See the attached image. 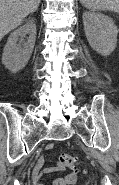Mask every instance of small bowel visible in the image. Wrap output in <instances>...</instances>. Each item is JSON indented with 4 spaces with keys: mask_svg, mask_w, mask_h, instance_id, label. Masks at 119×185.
Masks as SVG:
<instances>
[{
    "mask_svg": "<svg viewBox=\"0 0 119 185\" xmlns=\"http://www.w3.org/2000/svg\"><path fill=\"white\" fill-rule=\"evenodd\" d=\"M54 148L53 144H48L47 145V150L52 151ZM44 160L43 158H39L36 162V165L32 171L31 178L33 181L34 185H44L42 178L43 175L46 173H53V172H58L62 171L64 167L60 164L53 166V167H48V168H43ZM77 180V177L75 174H68L65 176H60L56 178L52 185H73Z\"/></svg>",
    "mask_w": 119,
    "mask_h": 185,
    "instance_id": "obj_1",
    "label": "small bowel"
}]
</instances>
